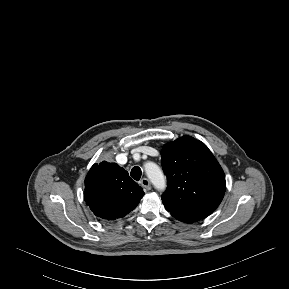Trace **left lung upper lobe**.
Here are the masks:
<instances>
[{
    "mask_svg": "<svg viewBox=\"0 0 289 289\" xmlns=\"http://www.w3.org/2000/svg\"><path fill=\"white\" fill-rule=\"evenodd\" d=\"M161 155L168 181L162 195L165 208L199 219L209 216L221 203L226 182L208 147L193 137L183 136L165 145Z\"/></svg>",
    "mask_w": 289,
    "mask_h": 289,
    "instance_id": "5c2ea615",
    "label": "left lung upper lobe"
}]
</instances>
